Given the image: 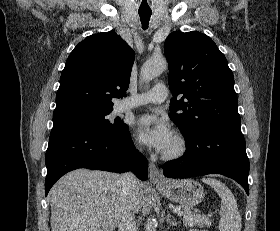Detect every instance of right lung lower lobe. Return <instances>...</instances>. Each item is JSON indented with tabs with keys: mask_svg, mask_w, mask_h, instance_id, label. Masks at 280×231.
<instances>
[{
	"mask_svg": "<svg viewBox=\"0 0 280 231\" xmlns=\"http://www.w3.org/2000/svg\"><path fill=\"white\" fill-rule=\"evenodd\" d=\"M45 195L64 174L78 168L111 172L133 171L148 177V163L132 142L128 126L118 133H100L81 127L51 130L46 151Z\"/></svg>",
	"mask_w": 280,
	"mask_h": 231,
	"instance_id": "1",
	"label": "right lung lower lobe"
}]
</instances>
